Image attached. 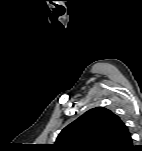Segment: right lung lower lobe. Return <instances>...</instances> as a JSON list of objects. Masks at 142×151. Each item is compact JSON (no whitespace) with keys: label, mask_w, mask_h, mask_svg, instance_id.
<instances>
[{"label":"right lung lower lobe","mask_w":142,"mask_h":151,"mask_svg":"<svg viewBox=\"0 0 142 151\" xmlns=\"http://www.w3.org/2000/svg\"><path fill=\"white\" fill-rule=\"evenodd\" d=\"M134 149H135V146H134V147H132V149H131L130 151H132V150H134ZM136 150H140V151H142V147L136 148L134 151H136Z\"/></svg>","instance_id":"1"}]
</instances>
